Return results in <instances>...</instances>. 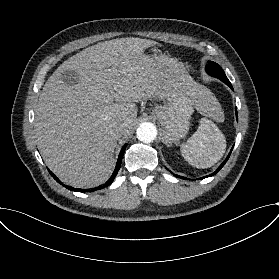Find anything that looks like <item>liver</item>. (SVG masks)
<instances>
[{"label": "liver", "instance_id": "1", "mask_svg": "<svg viewBox=\"0 0 279 279\" xmlns=\"http://www.w3.org/2000/svg\"><path fill=\"white\" fill-rule=\"evenodd\" d=\"M157 44L134 37L99 42L64 61L48 78L35 111V136L45 163L64 183L90 188L108 180L119 139L115 128L127 123L126 138L136 123L135 102L162 100L172 78L184 79L183 89L197 107L202 86L144 54ZM67 70L77 72V84L63 81Z\"/></svg>", "mask_w": 279, "mask_h": 279}]
</instances>
